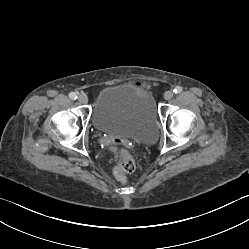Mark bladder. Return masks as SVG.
Returning a JSON list of instances; mask_svg holds the SVG:
<instances>
[{
	"label": "bladder",
	"instance_id": "31cf9c89",
	"mask_svg": "<svg viewBox=\"0 0 249 249\" xmlns=\"http://www.w3.org/2000/svg\"><path fill=\"white\" fill-rule=\"evenodd\" d=\"M92 122L101 133L117 134L142 143L154 142L158 134V114L152 96L131 84L103 88Z\"/></svg>",
	"mask_w": 249,
	"mask_h": 249
}]
</instances>
